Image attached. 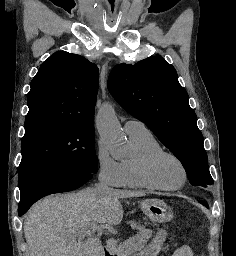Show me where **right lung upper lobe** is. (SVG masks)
<instances>
[{"mask_svg":"<svg viewBox=\"0 0 236 256\" xmlns=\"http://www.w3.org/2000/svg\"><path fill=\"white\" fill-rule=\"evenodd\" d=\"M98 84L95 64L65 51L54 53L31 82L25 122L44 119L93 124Z\"/></svg>","mask_w":236,"mask_h":256,"instance_id":"obj_1","label":"right lung upper lobe"}]
</instances>
